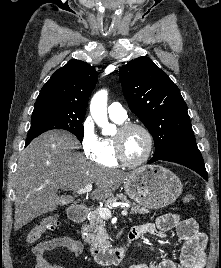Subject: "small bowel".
I'll list each match as a JSON object with an SVG mask.
<instances>
[{"label":"small bowel","instance_id":"1","mask_svg":"<svg viewBox=\"0 0 221 268\" xmlns=\"http://www.w3.org/2000/svg\"><path fill=\"white\" fill-rule=\"evenodd\" d=\"M176 230L178 237L184 242L180 263L171 259H162L153 263H136L128 268H204L207 259V235L199 229L197 221L192 217H181L176 213L159 216L154 223H144L133 227L131 230L137 239L144 234H151L164 238L166 233ZM56 248H66L75 256L81 255L82 244L70 236H62L42 241L32 247L36 259L35 268H63L49 263L44 254Z\"/></svg>","mask_w":221,"mask_h":268}]
</instances>
